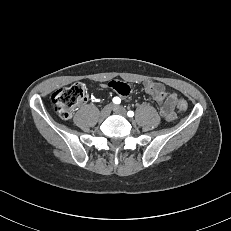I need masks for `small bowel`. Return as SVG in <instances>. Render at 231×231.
<instances>
[{
  "label": "small bowel",
  "mask_w": 231,
  "mask_h": 231,
  "mask_svg": "<svg viewBox=\"0 0 231 231\" xmlns=\"http://www.w3.org/2000/svg\"><path fill=\"white\" fill-rule=\"evenodd\" d=\"M109 86L121 96H127L130 92L129 86L122 82L112 81L109 83ZM144 89L147 94L161 105L160 114L162 117L167 121L174 120L176 117L174 106L176 94L167 92L161 83L154 81H146L144 83Z\"/></svg>",
  "instance_id": "c3829d8e"
}]
</instances>
